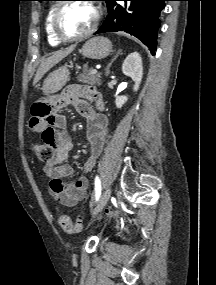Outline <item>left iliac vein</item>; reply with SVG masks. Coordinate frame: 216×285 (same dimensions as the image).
<instances>
[{
	"instance_id": "obj_1",
	"label": "left iliac vein",
	"mask_w": 216,
	"mask_h": 285,
	"mask_svg": "<svg viewBox=\"0 0 216 285\" xmlns=\"http://www.w3.org/2000/svg\"><path fill=\"white\" fill-rule=\"evenodd\" d=\"M110 196H111V188H106L105 191L103 192L96 208L94 209V211L92 213L93 216H96L99 212L102 211V209L107 204Z\"/></svg>"
}]
</instances>
